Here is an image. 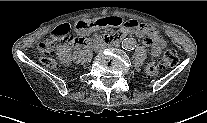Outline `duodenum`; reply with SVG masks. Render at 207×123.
I'll list each match as a JSON object with an SVG mask.
<instances>
[{"label": "duodenum", "mask_w": 207, "mask_h": 123, "mask_svg": "<svg viewBox=\"0 0 207 123\" xmlns=\"http://www.w3.org/2000/svg\"><path fill=\"white\" fill-rule=\"evenodd\" d=\"M125 35H115V36H104L101 40L99 39H89L84 43L85 48H93L94 46L98 44H116L120 42Z\"/></svg>", "instance_id": "duodenum-1"}]
</instances>
